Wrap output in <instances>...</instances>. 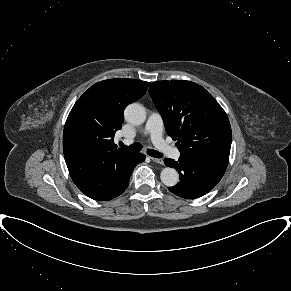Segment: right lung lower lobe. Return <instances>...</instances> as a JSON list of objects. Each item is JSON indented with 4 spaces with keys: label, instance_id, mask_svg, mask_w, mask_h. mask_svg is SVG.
Wrapping results in <instances>:
<instances>
[{
    "label": "right lung lower lobe",
    "instance_id": "98d812e1",
    "mask_svg": "<svg viewBox=\"0 0 291 291\" xmlns=\"http://www.w3.org/2000/svg\"><path fill=\"white\" fill-rule=\"evenodd\" d=\"M145 158V155L141 153H134V155L127 162L126 166L122 169L115 184L99 196L92 199L98 201H108L122 194L124 190L128 187L129 179L133 172V169L138 163L143 162Z\"/></svg>",
    "mask_w": 291,
    "mask_h": 291
}]
</instances>
